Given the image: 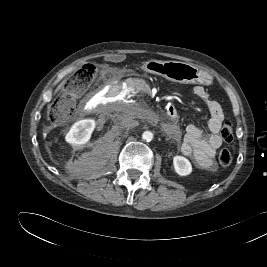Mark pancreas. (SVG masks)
<instances>
[{
  "instance_id": "cf45deb5",
  "label": "pancreas",
  "mask_w": 267,
  "mask_h": 267,
  "mask_svg": "<svg viewBox=\"0 0 267 267\" xmlns=\"http://www.w3.org/2000/svg\"><path fill=\"white\" fill-rule=\"evenodd\" d=\"M129 86L134 90L142 91L145 90L143 81H130Z\"/></svg>"
}]
</instances>
